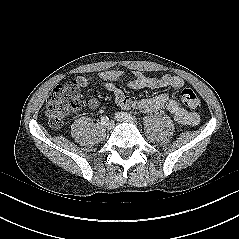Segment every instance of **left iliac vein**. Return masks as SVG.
<instances>
[{"label": "left iliac vein", "instance_id": "left-iliac-vein-1", "mask_svg": "<svg viewBox=\"0 0 239 239\" xmlns=\"http://www.w3.org/2000/svg\"><path fill=\"white\" fill-rule=\"evenodd\" d=\"M115 119L119 122H126V123H135V120L126 116L125 113L117 112L115 113Z\"/></svg>", "mask_w": 239, "mask_h": 239}]
</instances>
